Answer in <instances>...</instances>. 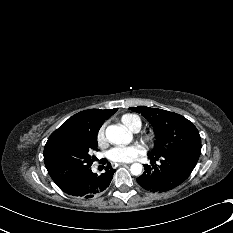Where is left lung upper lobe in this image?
Wrapping results in <instances>:
<instances>
[{"instance_id":"obj_1","label":"left lung upper lobe","mask_w":233,"mask_h":233,"mask_svg":"<svg viewBox=\"0 0 233 233\" xmlns=\"http://www.w3.org/2000/svg\"><path fill=\"white\" fill-rule=\"evenodd\" d=\"M143 115L154 128L156 142L153 156L172 155L196 164L201 154V137L197 128L185 117L146 106L131 107Z\"/></svg>"}]
</instances>
